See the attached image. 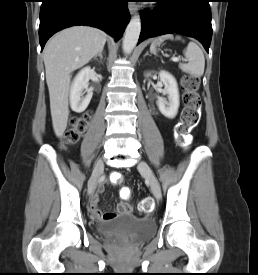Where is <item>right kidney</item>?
I'll list each match as a JSON object with an SVG mask.
<instances>
[{"mask_svg": "<svg viewBox=\"0 0 258 275\" xmlns=\"http://www.w3.org/2000/svg\"><path fill=\"white\" fill-rule=\"evenodd\" d=\"M93 74L90 67L83 68L75 77L70 91L71 109L76 113L83 112L92 98V91L88 89L90 76ZM84 94H86L84 96Z\"/></svg>", "mask_w": 258, "mask_h": 275, "instance_id": "1", "label": "right kidney"}]
</instances>
